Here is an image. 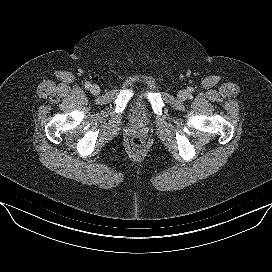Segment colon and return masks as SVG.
Here are the masks:
<instances>
[{
  "label": "colon",
  "mask_w": 272,
  "mask_h": 272,
  "mask_svg": "<svg viewBox=\"0 0 272 272\" xmlns=\"http://www.w3.org/2000/svg\"><path fill=\"white\" fill-rule=\"evenodd\" d=\"M130 144H131L132 150L135 151V152H140L144 148V142L139 137L132 138Z\"/></svg>",
  "instance_id": "obj_1"
}]
</instances>
